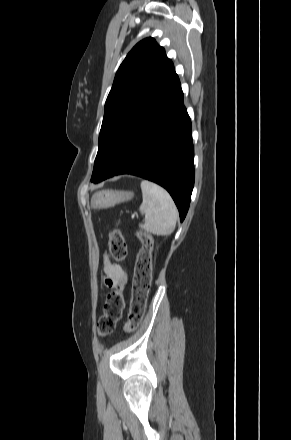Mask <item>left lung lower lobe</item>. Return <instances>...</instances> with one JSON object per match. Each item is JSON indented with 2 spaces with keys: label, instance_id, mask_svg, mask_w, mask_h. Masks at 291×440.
Wrapping results in <instances>:
<instances>
[{
  "label": "left lung lower lobe",
  "instance_id": "0a47b994",
  "mask_svg": "<svg viewBox=\"0 0 291 440\" xmlns=\"http://www.w3.org/2000/svg\"><path fill=\"white\" fill-rule=\"evenodd\" d=\"M191 121L175 74L123 134L94 183L120 174L136 175L164 187L183 221L194 186Z\"/></svg>",
  "mask_w": 291,
  "mask_h": 440
}]
</instances>
